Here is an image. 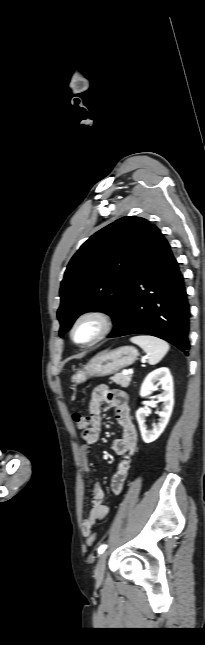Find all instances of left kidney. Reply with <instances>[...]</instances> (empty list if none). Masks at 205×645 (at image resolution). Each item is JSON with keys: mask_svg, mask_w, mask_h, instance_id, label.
<instances>
[{"mask_svg": "<svg viewBox=\"0 0 205 645\" xmlns=\"http://www.w3.org/2000/svg\"><path fill=\"white\" fill-rule=\"evenodd\" d=\"M156 382L162 384L163 390V392L157 396L158 401L163 402L164 405L162 411L158 413L160 417L159 422L153 426L152 430H147L145 419L148 416V412L145 408H139L136 412V419L139 424L142 439L145 443L155 441L162 434L169 422L174 405L173 379L168 368H159L148 374L142 383L140 396L147 397L150 395L152 390L155 388Z\"/></svg>", "mask_w": 205, "mask_h": 645, "instance_id": "1", "label": "left kidney"}]
</instances>
